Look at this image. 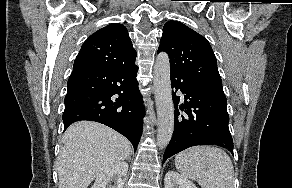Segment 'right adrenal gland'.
<instances>
[{
	"label": "right adrenal gland",
	"mask_w": 292,
	"mask_h": 188,
	"mask_svg": "<svg viewBox=\"0 0 292 188\" xmlns=\"http://www.w3.org/2000/svg\"><path fill=\"white\" fill-rule=\"evenodd\" d=\"M127 160H128V161H130V160H131V155H129V157L127 158Z\"/></svg>",
	"instance_id": "obj_1"
}]
</instances>
